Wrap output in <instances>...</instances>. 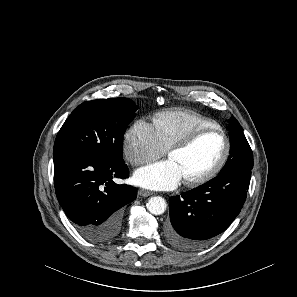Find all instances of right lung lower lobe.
Wrapping results in <instances>:
<instances>
[{"label":"right lung lower lobe","instance_id":"1","mask_svg":"<svg viewBox=\"0 0 297 297\" xmlns=\"http://www.w3.org/2000/svg\"><path fill=\"white\" fill-rule=\"evenodd\" d=\"M53 158L56 196L76 230L98 243L116 237L122 207L137 196L136 188L113 181L129 177L127 165L83 152H60Z\"/></svg>","mask_w":297,"mask_h":297}]
</instances>
